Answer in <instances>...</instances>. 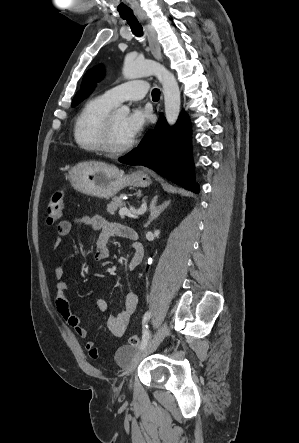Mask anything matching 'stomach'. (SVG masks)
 <instances>
[{
    "instance_id": "0dacf381",
    "label": "stomach",
    "mask_w": 299,
    "mask_h": 443,
    "mask_svg": "<svg viewBox=\"0 0 299 443\" xmlns=\"http://www.w3.org/2000/svg\"><path fill=\"white\" fill-rule=\"evenodd\" d=\"M67 178L75 190L99 198H111L127 186L147 187L151 184L145 172L124 175L114 165L93 162L77 164Z\"/></svg>"
}]
</instances>
